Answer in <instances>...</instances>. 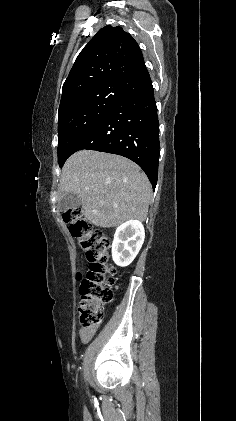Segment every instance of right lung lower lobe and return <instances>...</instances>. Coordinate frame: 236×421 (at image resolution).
<instances>
[{
    "mask_svg": "<svg viewBox=\"0 0 236 421\" xmlns=\"http://www.w3.org/2000/svg\"><path fill=\"white\" fill-rule=\"evenodd\" d=\"M125 94L77 142L81 149L118 154L137 163L153 188L158 178L159 122L154 89L146 66L120 83Z\"/></svg>",
    "mask_w": 236,
    "mask_h": 421,
    "instance_id": "obj_1",
    "label": "right lung lower lobe"
}]
</instances>
